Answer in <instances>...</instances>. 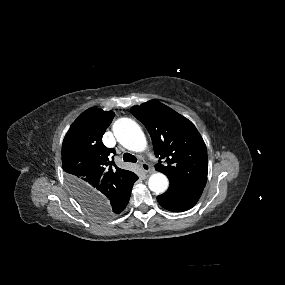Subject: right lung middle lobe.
<instances>
[{
  "label": "right lung middle lobe",
  "instance_id": "right-lung-middle-lobe-1",
  "mask_svg": "<svg viewBox=\"0 0 285 285\" xmlns=\"http://www.w3.org/2000/svg\"><path fill=\"white\" fill-rule=\"evenodd\" d=\"M72 189V188H71ZM73 191V190H72ZM84 207L94 216L100 218H110L113 214L106 208H98L95 205H84Z\"/></svg>",
  "mask_w": 285,
  "mask_h": 285
}]
</instances>
